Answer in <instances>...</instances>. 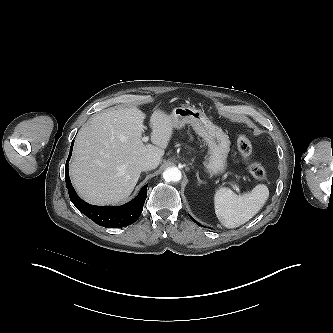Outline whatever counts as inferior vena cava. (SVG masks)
I'll list each match as a JSON object with an SVG mask.
<instances>
[{"label": "inferior vena cava", "instance_id": "inferior-vena-cava-1", "mask_svg": "<svg viewBox=\"0 0 333 333\" xmlns=\"http://www.w3.org/2000/svg\"><path fill=\"white\" fill-rule=\"evenodd\" d=\"M160 163L159 158H145L144 160L141 161V170L142 171H148L155 169Z\"/></svg>", "mask_w": 333, "mask_h": 333}]
</instances>
